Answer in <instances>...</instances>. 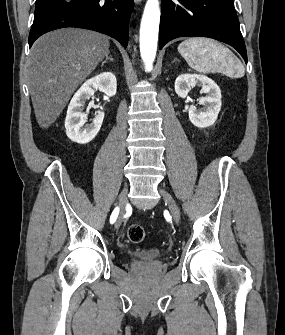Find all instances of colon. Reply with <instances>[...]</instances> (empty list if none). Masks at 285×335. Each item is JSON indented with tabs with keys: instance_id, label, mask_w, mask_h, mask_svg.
I'll use <instances>...</instances> for the list:
<instances>
[{
	"instance_id": "5ec220e1",
	"label": "colon",
	"mask_w": 285,
	"mask_h": 335,
	"mask_svg": "<svg viewBox=\"0 0 285 335\" xmlns=\"http://www.w3.org/2000/svg\"><path fill=\"white\" fill-rule=\"evenodd\" d=\"M127 236L130 242L139 244L146 238V232L142 225L131 224L127 229Z\"/></svg>"
}]
</instances>
